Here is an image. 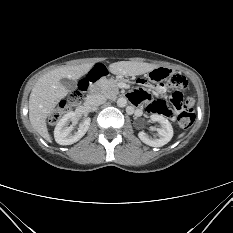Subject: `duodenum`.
I'll use <instances>...</instances> for the list:
<instances>
[{"mask_svg": "<svg viewBox=\"0 0 233 233\" xmlns=\"http://www.w3.org/2000/svg\"><path fill=\"white\" fill-rule=\"evenodd\" d=\"M109 71V66L105 64L104 62H99L95 68H93L90 72L86 74V77L83 78V83L84 85H88L87 91L89 93L92 92H97L100 93V88H96L93 84H89L90 82L96 81L98 78L101 76H107ZM86 90L84 91L85 93L87 92Z\"/></svg>", "mask_w": 233, "mask_h": 233, "instance_id": "410a0bca", "label": "duodenum"}]
</instances>
